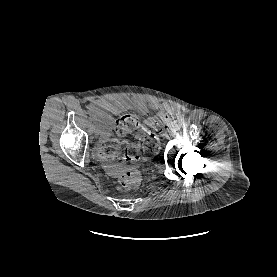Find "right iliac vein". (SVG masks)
Returning <instances> with one entry per match:
<instances>
[{
  "label": "right iliac vein",
  "instance_id": "63e3f726",
  "mask_svg": "<svg viewBox=\"0 0 277 277\" xmlns=\"http://www.w3.org/2000/svg\"><path fill=\"white\" fill-rule=\"evenodd\" d=\"M94 134H95L96 136L99 134V129H98V128L94 129Z\"/></svg>",
  "mask_w": 277,
  "mask_h": 277
}]
</instances>
